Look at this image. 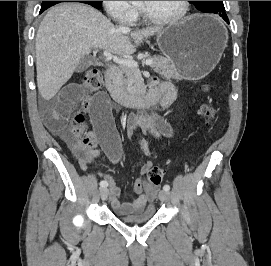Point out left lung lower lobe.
Returning <instances> with one entry per match:
<instances>
[{
  "instance_id": "obj_1",
  "label": "left lung lower lobe",
  "mask_w": 271,
  "mask_h": 266,
  "mask_svg": "<svg viewBox=\"0 0 271 266\" xmlns=\"http://www.w3.org/2000/svg\"><path fill=\"white\" fill-rule=\"evenodd\" d=\"M220 17H222L226 22L229 23V20L227 18V15L226 14H219Z\"/></svg>"
}]
</instances>
